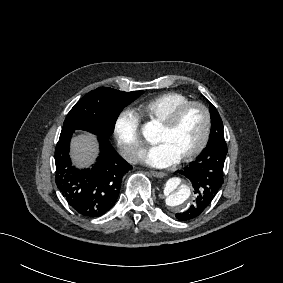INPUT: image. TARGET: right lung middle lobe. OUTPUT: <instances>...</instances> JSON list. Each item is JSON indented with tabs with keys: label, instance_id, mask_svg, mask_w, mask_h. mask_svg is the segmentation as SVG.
I'll use <instances>...</instances> for the list:
<instances>
[{
	"label": "right lung middle lobe",
	"instance_id": "dd1d6c3e",
	"mask_svg": "<svg viewBox=\"0 0 283 283\" xmlns=\"http://www.w3.org/2000/svg\"><path fill=\"white\" fill-rule=\"evenodd\" d=\"M143 91L123 92L100 87L82 97L68 113L62 131L81 129L108 138L125 106Z\"/></svg>",
	"mask_w": 283,
	"mask_h": 283
}]
</instances>
